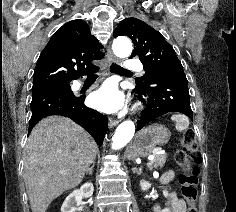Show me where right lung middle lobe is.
<instances>
[{"mask_svg":"<svg viewBox=\"0 0 236 212\" xmlns=\"http://www.w3.org/2000/svg\"><path fill=\"white\" fill-rule=\"evenodd\" d=\"M60 88H62L67 93H70V94L73 93L72 90H71L70 85H62V86H60Z\"/></svg>","mask_w":236,"mask_h":212,"instance_id":"1","label":"right lung middle lobe"}]
</instances>
